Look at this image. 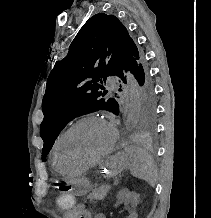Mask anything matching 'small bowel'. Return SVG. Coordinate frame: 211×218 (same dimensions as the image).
<instances>
[{"instance_id":"c3829d8e","label":"small bowel","mask_w":211,"mask_h":218,"mask_svg":"<svg viewBox=\"0 0 211 218\" xmlns=\"http://www.w3.org/2000/svg\"><path fill=\"white\" fill-rule=\"evenodd\" d=\"M70 217L91 218V214L84 205L79 204L71 211ZM95 218H106V217L103 214H97ZM124 218H137V214L135 210L128 208L127 214Z\"/></svg>"}]
</instances>
